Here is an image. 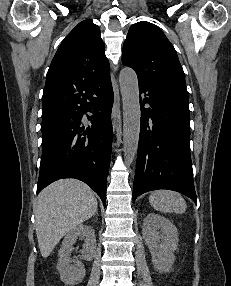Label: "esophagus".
<instances>
[{
  "label": "esophagus",
  "instance_id": "34e87169",
  "mask_svg": "<svg viewBox=\"0 0 231 286\" xmlns=\"http://www.w3.org/2000/svg\"><path fill=\"white\" fill-rule=\"evenodd\" d=\"M117 115H118V108H117L116 104H114L113 109H112V126H113L114 130L116 128Z\"/></svg>",
  "mask_w": 231,
  "mask_h": 286
}]
</instances>
